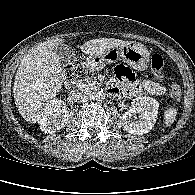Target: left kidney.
Here are the masks:
<instances>
[{
  "instance_id": "1",
  "label": "left kidney",
  "mask_w": 195,
  "mask_h": 195,
  "mask_svg": "<svg viewBox=\"0 0 195 195\" xmlns=\"http://www.w3.org/2000/svg\"><path fill=\"white\" fill-rule=\"evenodd\" d=\"M158 108V101L151 97L142 96L133 99L130 108L121 117L124 129L135 135L148 133L156 123Z\"/></svg>"
}]
</instances>
